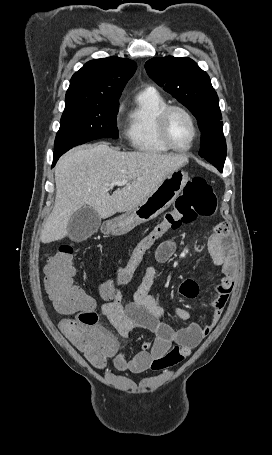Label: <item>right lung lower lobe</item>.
I'll return each mask as SVG.
<instances>
[{"label": "right lung lower lobe", "mask_w": 272, "mask_h": 455, "mask_svg": "<svg viewBox=\"0 0 272 455\" xmlns=\"http://www.w3.org/2000/svg\"><path fill=\"white\" fill-rule=\"evenodd\" d=\"M62 154L61 153H54V159H53V165H55V163L57 162V160L59 159V157L61 156Z\"/></svg>", "instance_id": "1"}]
</instances>
